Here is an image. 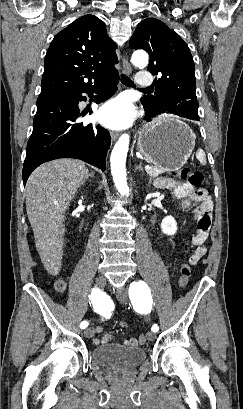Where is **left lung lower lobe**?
<instances>
[{
  "instance_id": "0a47b994",
  "label": "left lung lower lobe",
  "mask_w": 243,
  "mask_h": 409,
  "mask_svg": "<svg viewBox=\"0 0 243 409\" xmlns=\"http://www.w3.org/2000/svg\"><path fill=\"white\" fill-rule=\"evenodd\" d=\"M144 109L146 114V121H151L153 117L162 113L174 114L188 119L199 120L198 110H196V108H194L191 104H180L176 106L167 104L165 105V107H162L160 109H148L146 107H144Z\"/></svg>"
}]
</instances>
